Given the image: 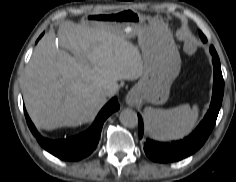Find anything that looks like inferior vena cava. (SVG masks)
Listing matches in <instances>:
<instances>
[{"instance_id":"1","label":"inferior vena cava","mask_w":236,"mask_h":182,"mask_svg":"<svg viewBox=\"0 0 236 182\" xmlns=\"http://www.w3.org/2000/svg\"><path fill=\"white\" fill-rule=\"evenodd\" d=\"M101 94L105 97H111L115 94V92L111 88H104L101 91Z\"/></svg>"}]
</instances>
